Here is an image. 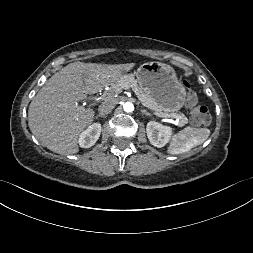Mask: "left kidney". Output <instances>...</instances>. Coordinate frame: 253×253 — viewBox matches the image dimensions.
Here are the masks:
<instances>
[{"instance_id": "1", "label": "left kidney", "mask_w": 253, "mask_h": 253, "mask_svg": "<svg viewBox=\"0 0 253 253\" xmlns=\"http://www.w3.org/2000/svg\"><path fill=\"white\" fill-rule=\"evenodd\" d=\"M146 132L150 143L155 147L161 148L169 142L172 129L158 122L150 121L147 123Z\"/></svg>"}]
</instances>
